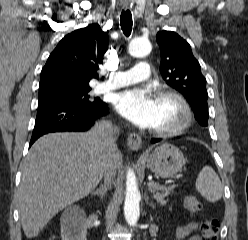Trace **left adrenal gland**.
Masks as SVG:
<instances>
[{
  "label": "left adrenal gland",
  "mask_w": 248,
  "mask_h": 240,
  "mask_svg": "<svg viewBox=\"0 0 248 240\" xmlns=\"http://www.w3.org/2000/svg\"><path fill=\"white\" fill-rule=\"evenodd\" d=\"M145 197H146V203L149 204L151 207L155 208V205L152 202H149V198L147 194L145 195Z\"/></svg>",
  "instance_id": "1"
}]
</instances>
